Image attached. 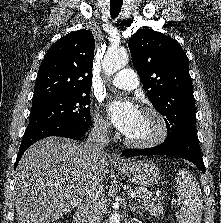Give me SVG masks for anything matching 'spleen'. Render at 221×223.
Returning <instances> with one entry per match:
<instances>
[{
  "label": "spleen",
  "instance_id": "spleen-1",
  "mask_svg": "<svg viewBox=\"0 0 221 223\" xmlns=\"http://www.w3.org/2000/svg\"><path fill=\"white\" fill-rule=\"evenodd\" d=\"M176 191L181 203L179 223H200L203 212L202 192L198 181L186 169L179 170Z\"/></svg>",
  "mask_w": 221,
  "mask_h": 223
}]
</instances>
